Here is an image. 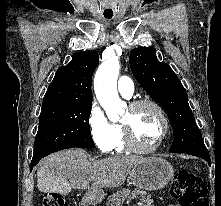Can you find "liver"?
I'll use <instances>...</instances> for the list:
<instances>
[{
    "instance_id": "liver-1",
    "label": "liver",
    "mask_w": 221,
    "mask_h": 206,
    "mask_svg": "<svg viewBox=\"0 0 221 206\" xmlns=\"http://www.w3.org/2000/svg\"><path fill=\"white\" fill-rule=\"evenodd\" d=\"M143 159L117 156L90 162L83 149L64 150L38 164L37 186L41 192H51L54 185L63 183L68 193L71 188L89 189V182L93 180V188L118 187Z\"/></svg>"
}]
</instances>
